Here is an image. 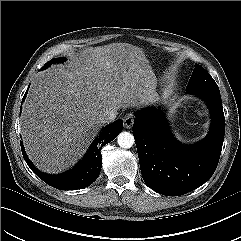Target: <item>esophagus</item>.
<instances>
[{
    "label": "esophagus",
    "mask_w": 241,
    "mask_h": 241,
    "mask_svg": "<svg viewBox=\"0 0 241 241\" xmlns=\"http://www.w3.org/2000/svg\"><path fill=\"white\" fill-rule=\"evenodd\" d=\"M123 121H124L125 128L130 129L133 126V124H134V116H133V114L132 113L126 114L124 116Z\"/></svg>",
    "instance_id": "esophagus-1"
}]
</instances>
